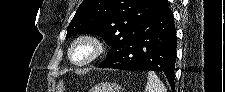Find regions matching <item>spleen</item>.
<instances>
[{
  "instance_id": "obj_1",
  "label": "spleen",
  "mask_w": 225,
  "mask_h": 92,
  "mask_svg": "<svg viewBox=\"0 0 225 92\" xmlns=\"http://www.w3.org/2000/svg\"><path fill=\"white\" fill-rule=\"evenodd\" d=\"M144 92H167V89L155 72L150 71Z\"/></svg>"
}]
</instances>
